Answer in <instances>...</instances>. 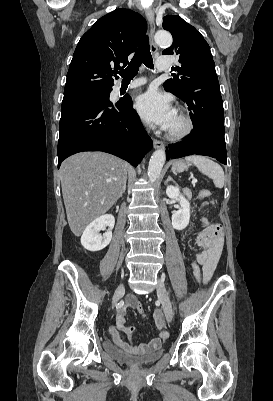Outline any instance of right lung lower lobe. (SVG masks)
<instances>
[{"label":"right lung lower lobe","mask_w":273,"mask_h":401,"mask_svg":"<svg viewBox=\"0 0 273 401\" xmlns=\"http://www.w3.org/2000/svg\"><path fill=\"white\" fill-rule=\"evenodd\" d=\"M59 130L58 168L64 159L82 151L111 153L137 166L152 148L131 99L64 109Z\"/></svg>","instance_id":"obj_1"}]
</instances>
